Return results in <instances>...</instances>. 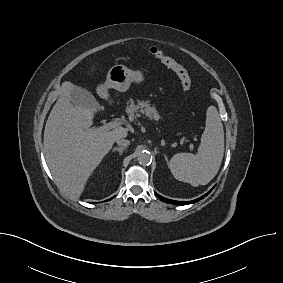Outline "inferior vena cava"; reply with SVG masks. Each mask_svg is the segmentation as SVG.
<instances>
[{
    "instance_id": "602c4592",
    "label": "inferior vena cava",
    "mask_w": 283,
    "mask_h": 283,
    "mask_svg": "<svg viewBox=\"0 0 283 283\" xmlns=\"http://www.w3.org/2000/svg\"><path fill=\"white\" fill-rule=\"evenodd\" d=\"M116 143H117L118 145H120V146L126 147V146H128V145L130 144V141L127 140V139L118 138V139L116 140Z\"/></svg>"
}]
</instances>
